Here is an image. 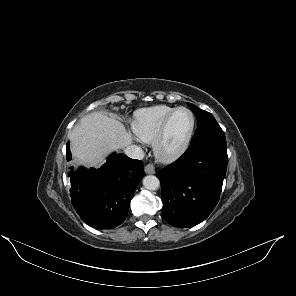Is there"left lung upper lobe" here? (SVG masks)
<instances>
[{"mask_svg": "<svg viewBox=\"0 0 296 296\" xmlns=\"http://www.w3.org/2000/svg\"><path fill=\"white\" fill-rule=\"evenodd\" d=\"M188 106L195 113L198 121L197 130L189 147H193L211 140L225 139L223 130L218 125L212 114L199 109L197 106L191 103H188Z\"/></svg>", "mask_w": 296, "mask_h": 296, "instance_id": "1", "label": "left lung upper lobe"}]
</instances>
